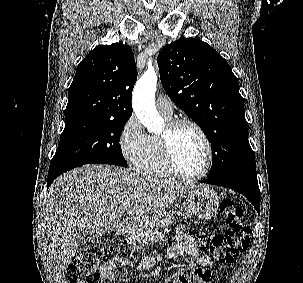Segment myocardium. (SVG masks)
<instances>
[{"label": "myocardium", "instance_id": "1", "mask_svg": "<svg viewBox=\"0 0 303 283\" xmlns=\"http://www.w3.org/2000/svg\"><path fill=\"white\" fill-rule=\"evenodd\" d=\"M191 127L193 128L201 137L205 149H206V162L203 170L195 175H189L183 173L177 166L175 157H174V150H173V138L175 134L178 132V130L182 127ZM160 148H161V154L163 158V162L168 169V171L174 175L177 178L183 179V180H199L206 176L208 172L210 171L212 164H213V147L211 144V141L206 134V132L203 130V128L197 124L196 122L189 120V119H178L170 121L166 126V131L164 134H161L158 137Z\"/></svg>", "mask_w": 303, "mask_h": 283}]
</instances>
